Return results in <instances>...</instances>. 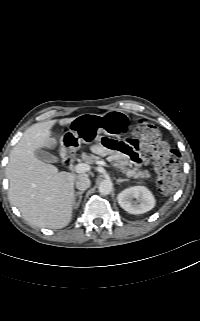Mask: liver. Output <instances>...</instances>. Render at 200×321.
<instances>
[{
  "mask_svg": "<svg viewBox=\"0 0 200 321\" xmlns=\"http://www.w3.org/2000/svg\"><path fill=\"white\" fill-rule=\"evenodd\" d=\"M74 118H63L60 125L70 124ZM56 120L30 126L12 149L6 167L9 179V200L22 217L39 227L60 229L69 224L74 206L76 176L58 172L56 166L44 163L35 151L49 147L51 129Z\"/></svg>",
  "mask_w": 200,
  "mask_h": 321,
  "instance_id": "liver-1",
  "label": "liver"
}]
</instances>
